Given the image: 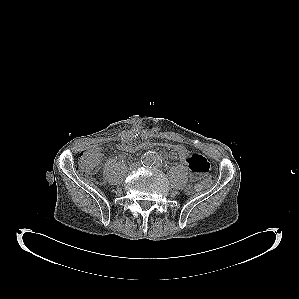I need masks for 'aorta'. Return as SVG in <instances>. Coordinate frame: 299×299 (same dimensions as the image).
I'll use <instances>...</instances> for the list:
<instances>
[{
	"mask_svg": "<svg viewBox=\"0 0 299 299\" xmlns=\"http://www.w3.org/2000/svg\"><path fill=\"white\" fill-rule=\"evenodd\" d=\"M160 161L159 156L155 152H147L142 155L141 162L146 167H154Z\"/></svg>",
	"mask_w": 299,
	"mask_h": 299,
	"instance_id": "aorta-1",
	"label": "aorta"
}]
</instances>
